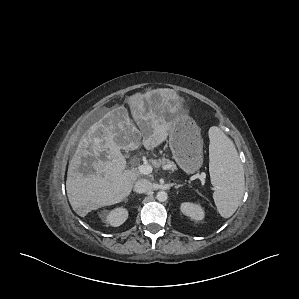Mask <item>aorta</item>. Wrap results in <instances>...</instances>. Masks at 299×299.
Returning a JSON list of instances; mask_svg holds the SVG:
<instances>
[{"instance_id":"762f6f07","label":"aorta","mask_w":299,"mask_h":299,"mask_svg":"<svg viewBox=\"0 0 299 299\" xmlns=\"http://www.w3.org/2000/svg\"><path fill=\"white\" fill-rule=\"evenodd\" d=\"M156 198L159 202H164L167 200L168 195L165 191H159L156 195Z\"/></svg>"}]
</instances>
